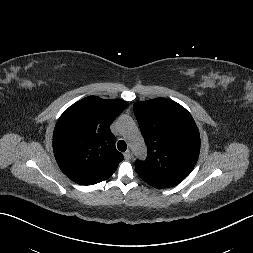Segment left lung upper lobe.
<instances>
[{"instance_id":"left-lung-upper-lobe-1","label":"left lung upper lobe","mask_w":253,"mask_h":253,"mask_svg":"<svg viewBox=\"0 0 253 253\" xmlns=\"http://www.w3.org/2000/svg\"><path fill=\"white\" fill-rule=\"evenodd\" d=\"M148 156L136 161L137 174L149 185L176 186L193 170L200 135L191 114L180 104L157 98L133 105Z\"/></svg>"}]
</instances>
